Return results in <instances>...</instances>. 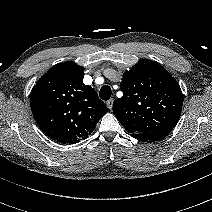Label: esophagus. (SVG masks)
<instances>
[{
    "label": "esophagus",
    "mask_w": 212,
    "mask_h": 212,
    "mask_svg": "<svg viewBox=\"0 0 212 212\" xmlns=\"http://www.w3.org/2000/svg\"><path fill=\"white\" fill-rule=\"evenodd\" d=\"M106 105H107L108 109L111 110L112 107H113V99L108 100V101L106 102Z\"/></svg>",
    "instance_id": "1"
}]
</instances>
